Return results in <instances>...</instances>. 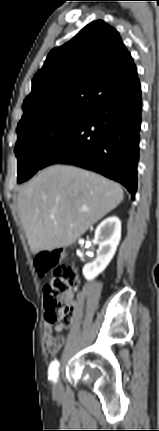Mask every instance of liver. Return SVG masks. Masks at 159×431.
<instances>
[{"label": "liver", "instance_id": "6515ba94", "mask_svg": "<svg viewBox=\"0 0 159 431\" xmlns=\"http://www.w3.org/2000/svg\"><path fill=\"white\" fill-rule=\"evenodd\" d=\"M123 197L119 184L96 173L66 165L42 170L18 195L19 216L32 252L72 245Z\"/></svg>", "mask_w": 159, "mask_h": 431}]
</instances>
